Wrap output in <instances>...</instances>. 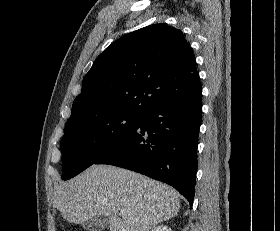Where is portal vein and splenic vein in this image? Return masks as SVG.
<instances>
[{
    "mask_svg": "<svg viewBox=\"0 0 280 231\" xmlns=\"http://www.w3.org/2000/svg\"><path fill=\"white\" fill-rule=\"evenodd\" d=\"M121 213H126L125 209H121Z\"/></svg>",
    "mask_w": 280,
    "mask_h": 231,
    "instance_id": "18ae733b",
    "label": "portal vein and splenic vein"
}]
</instances>
